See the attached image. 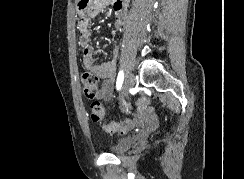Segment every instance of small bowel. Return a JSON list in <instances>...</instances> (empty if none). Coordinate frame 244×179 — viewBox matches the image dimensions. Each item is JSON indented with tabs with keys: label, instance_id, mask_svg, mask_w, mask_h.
Returning <instances> with one entry per match:
<instances>
[{
	"label": "small bowel",
	"instance_id": "obj_1",
	"mask_svg": "<svg viewBox=\"0 0 244 179\" xmlns=\"http://www.w3.org/2000/svg\"><path fill=\"white\" fill-rule=\"evenodd\" d=\"M88 4V12L86 18H79L78 30H79V43L82 54V64L86 70L96 74L103 80V84L97 93V97L101 100H109L113 94L114 82L116 78V66L118 47L113 49V58L104 64H97L95 62L98 51L94 49L90 44L91 38V22L101 12H103L108 6H112L114 19L113 29L119 30L125 24L127 18V7L122 1H109V0H92ZM136 116H132L134 125L139 124L143 126H157L156 116H151L150 111L138 110Z\"/></svg>",
	"mask_w": 244,
	"mask_h": 179
}]
</instances>
